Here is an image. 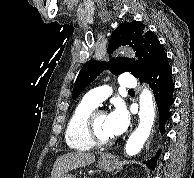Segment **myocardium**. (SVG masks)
Here are the masks:
<instances>
[{
    "mask_svg": "<svg viewBox=\"0 0 194 178\" xmlns=\"http://www.w3.org/2000/svg\"><path fill=\"white\" fill-rule=\"evenodd\" d=\"M105 114V110L95 108L87 117L86 130L89 139L95 146H108L113 143V138L103 139L99 136L95 126V119L98 115Z\"/></svg>",
    "mask_w": 194,
    "mask_h": 178,
    "instance_id": "1",
    "label": "myocardium"
}]
</instances>
